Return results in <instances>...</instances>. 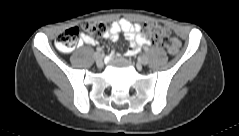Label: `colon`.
I'll list each match as a JSON object with an SVG mask.
<instances>
[{"label":"colon","mask_w":239,"mask_h":136,"mask_svg":"<svg viewBox=\"0 0 239 136\" xmlns=\"http://www.w3.org/2000/svg\"><path fill=\"white\" fill-rule=\"evenodd\" d=\"M145 31L152 40L160 43L169 54H176L180 49V42L177 38L167 34L164 26L156 23H148L144 26ZM83 31L91 37H100L108 31V24L104 22H89L83 25ZM81 30L72 27L59 34L56 38V47L67 52L76 47L79 42Z\"/></svg>","instance_id":"1"}]
</instances>
